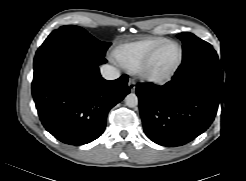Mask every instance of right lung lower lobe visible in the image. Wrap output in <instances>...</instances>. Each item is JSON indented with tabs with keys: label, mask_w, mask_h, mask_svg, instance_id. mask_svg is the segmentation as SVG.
Segmentation results:
<instances>
[{
	"label": "right lung lower lobe",
	"mask_w": 246,
	"mask_h": 181,
	"mask_svg": "<svg viewBox=\"0 0 246 181\" xmlns=\"http://www.w3.org/2000/svg\"><path fill=\"white\" fill-rule=\"evenodd\" d=\"M100 64L68 44L34 59L32 94L40 120L63 143L82 145L101 136L109 110L130 92L126 75L107 81Z\"/></svg>",
	"instance_id": "right-lung-lower-lobe-1"
}]
</instances>
